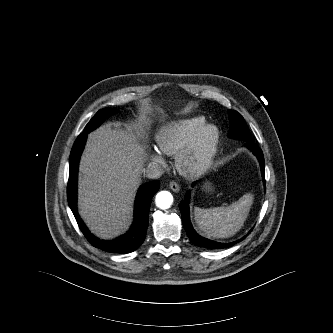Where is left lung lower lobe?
I'll use <instances>...</instances> for the list:
<instances>
[{"mask_svg":"<svg viewBox=\"0 0 333 333\" xmlns=\"http://www.w3.org/2000/svg\"><path fill=\"white\" fill-rule=\"evenodd\" d=\"M246 146L249 149H251V151L257 156V158L260 162L263 180L265 182V171H264L265 170V164H264V157H263V153H262L261 149L257 145H255L253 142L247 143ZM189 199H190V194L188 192L185 196V200L181 201V203L179 205V208H180L181 215H182L183 226H184L190 240L195 245L200 246V247H204V248H209V249H223V248L230 247V246H232V245H234L235 243L238 242V241H235V242H232V243H219V242H215V241L206 239V238L201 237L200 235H198L196 233V231L193 229V227L191 225V222H190L189 205H188Z\"/></svg>","mask_w":333,"mask_h":333,"instance_id":"0a47b994","label":"left lung lower lobe"}]
</instances>
